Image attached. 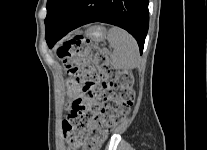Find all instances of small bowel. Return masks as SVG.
I'll use <instances>...</instances> for the list:
<instances>
[{"label": "small bowel", "mask_w": 207, "mask_h": 150, "mask_svg": "<svg viewBox=\"0 0 207 150\" xmlns=\"http://www.w3.org/2000/svg\"><path fill=\"white\" fill-rule=\"evenodd\" d=\"M69 95L74 98L80 97L82 95L80 86L76 81L71 82Z\"/></svg>", "instance_id": "1"}]
</instances>
